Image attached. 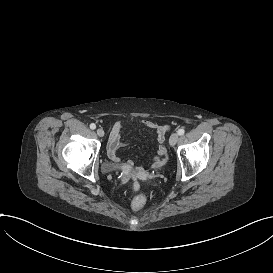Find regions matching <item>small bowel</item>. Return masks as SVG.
Listing matches in <instances>:
<instances>
[{"instance_id": "obj_1", "label": "small bowel", "mask_w": 273, "mask_h": 273, "mask_svg": "<svg viewBox=\"0 0 273 273\" xmlns=\"http://www.w3.org/2000/svg\"><path fill=\"white\" fill-rule=\"evenodd\" d=\"M146 127L149 129L154 130V133L156 135V141L158 143H161L158 149V156L154 160L153 167L158 168L161 165H165L167 163V144L165 141V135H164V129L161 126H158L156 123L147 121L145 123ZM124 128V125L122 122L117 121L112 124L110 128V134H109V140H108V149L107 154L111 161L114 163H120L121 158L118 155V150L123 146V143L121 142V134L122 130ZM122 168L125 169V172H135L139 176L143 174V169L139 166H135L133 162L128 161L125 163H122ZM127 174H125L126 177ZM146 175V174H145ZM144 178V177H143ZM144 186V183H143ZM146 188V187H145ZM125 191V190H124ZM129 194V193H127ZM132 194V193H131Z\"/></svg>"}]
</instances>
